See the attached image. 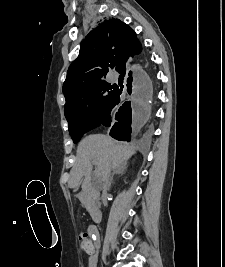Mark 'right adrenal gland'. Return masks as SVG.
<instances>
[{
	"mask_svg": "<svg viewBox=\"0 0 225 267\" xmlns=\"http://www.w3.org/2000/svg\"><path fill=\"white\" fill-rule=\"evenodd\" d=\"M126 170H127V163H124V164H122L121 166H119L117 169H115V170L113 171L111 177H110V180H109V183H108V188L111 187V184H112V182H113V177H114V175H116V174L123 175V174H125Z\"/></svg>",
	"mask_w": 225,
	"mask_h": 267,
	"instance_id": "1",
	"label": "right adrenal gland"
}]
</instances>
